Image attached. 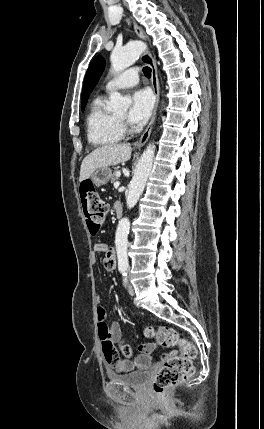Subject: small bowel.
Returning a JSON list of instances; mask_svg holds the SVG:
<instances>
[{"instance_id":"c3829d8e","label":"small bowel","mask_w":264,"mask_h":429,"mask_svg":"<svg viewBox=\"0 0 264 429\" xmlns=\"http://www.w3.org/2000/svg\"><path fill=\"white\" fill-rule=\"evenodd\" d=\"M119 203H116L117 205ZM97 253H104L103 266L107 271H112L115 268V252L105 243H97L93 247L94 256ZM101 314L103 318L101 319ZM98 334L102 341V346L107 340L112 343L118 342L121 338V328L117 322L108 324L106 322V312L103 307H98ZM154 345L147 343L139 346L140 354L134 360L120 358L116 363L111 364L119 372H129L134 369H146L150 366L152 360V352Z\"/></svg>"}]
</instances>
